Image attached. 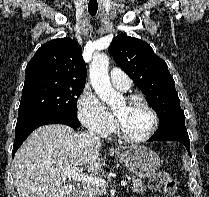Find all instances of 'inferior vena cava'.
<instances>
[{
	"label": "inferior vena cava",
	"instance_id": "602c4592",
	"mask_svg": "<svg viewBox=\"0 0 209 197\" xmlns=\"http://www.w3.org/2000/svg\"><path fill=\"white\" fill-rule=\"evenodd\" d=\"M90 134H91V136H92V138H93L94 140H96V141H99V140H100L98 137H96L95 134H93V133H90Z\"/></svg>",
	"mask_w": 209,
	"mask_h": 197
}]
</instances>
